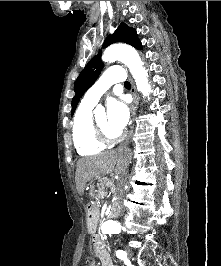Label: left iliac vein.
<instances>
[{"label": "left iliac vein", "instance_id": "4c4485c4", "mask_svg": "<svg viewBox=\"0 0 221 266\" xmlns=\"http://www.w3.org/2000/svg\"><path fill=\"white\" fill-rule=\"evenodd\" d=\"M127 258L132 259L133 258V251L131 249H127Z\"/></svg>", "mask_w": 221, "mask_h": 266}]
</instances>
